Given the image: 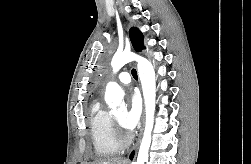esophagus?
<instances>
[{
  "mask_svg": "<svg viewBox=\"0 0 251 164\" xmlns=\"http://www.w3.org/2000/svg\"><path fill=\"white\" fill-rule=\"evenodd\" d=\"M141 122H142V126H141V129H140L138 139H137L136 143L134 144V146L132 147V149L130 150V152H129L128 156H127V162L128 163L133 162L135 160L136 156H137V151H138V147H139L142 132H143L144 112L142 114Z\"/></svg>",
  "mask_w": 251,
  "mask_h": 164,
  "instance_id": "esophagus-1",
  "label": "esophagus"
}]
</instances>
